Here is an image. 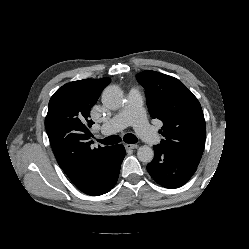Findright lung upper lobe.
I'll return each mask as SVG.
<instances>
[{
  "mask_svg": "<svg viewBox=\"0 0 249 249\" xmlns=\"http://www.w3.org/2000/svg\"><path fill=\"white\" fill-rule=\"evenodd\" d=\"M110 78L67 83L51 97L45 128L61 169L80 190L111 158V146L92 148L90 109Z\"/></svg>",
  "mask_w": 249,
  "mask_h": 249,
  "instance_id": "cb5924a9",
  "label": "right lung upper lobe"
}]
</instances>
